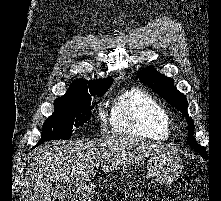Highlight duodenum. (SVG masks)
<instances>
[{
    "mask_svg": "<svg viewBox=\"0 0 221 201\" xmlns=\"http://www.w3.org/2000/svg\"><path fill=\"white\" fill-rule=\"evenodd\" d=\"M83 196L81 194L76 196V201H83Z\"/></svg>",
    "mask_w": 221,
    "mask_h": 201,
    "instance_id": "duodenum-1",
    "label": "duodenum"
}]
</instances>
